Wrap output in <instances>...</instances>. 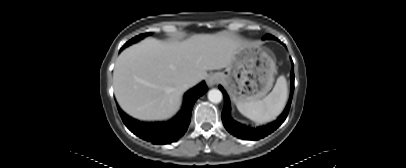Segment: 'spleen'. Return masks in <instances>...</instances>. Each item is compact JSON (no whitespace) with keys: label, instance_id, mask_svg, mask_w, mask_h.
<instances>
[{"label":"spleen","instance_id":"spleen-1","mask_svg":"<svg viewBox=\"0 0 406 168\" xmlns=\"http://www.w3.org/2000/svg\"><path fill=\"white\" fill-rule=\"evenodd\" d=\"M288 96L287 82L281 75L273 90L262 100L238 104L239 112L257 123L270 122L282 112Z\"/></svg>","mask_w":406,"mask_h":168}]
</instances>
